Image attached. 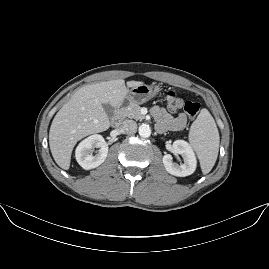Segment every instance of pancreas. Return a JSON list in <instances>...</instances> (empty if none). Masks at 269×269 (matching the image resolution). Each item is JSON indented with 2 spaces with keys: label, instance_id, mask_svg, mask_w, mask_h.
<instances>
[{
  "label": "pancreas",
  "instance_id": "obj_1",
  "mask_svg": "<svg viewBox=\"0 0 269 269\" xmlns=\"http://www.w3.org/2000/svg\"><path fill=\"white\" fill-rule=\"evenodd\" d=\"M141 107L137 104H130L129 107L123 108L120 110L119 114L122 119H135L142 120L145 118L143 114L140 112Z\"/></svg>",
  "mask_w": 269,
  "mask_h": 269
}]
</instances>
